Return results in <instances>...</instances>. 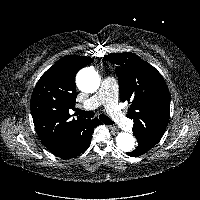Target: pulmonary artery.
Instances as JSON below:
<instances>
[{
	"label": "pulmonary artery",
	"mask_w": 200,
	"mask_h": 200,
	"mask_svg": "<svg viewBox=\"0 0 200 200\" xmlns=\"http://www.w3.org/2000/svg\"><path fill=\"white\" fill-rule=\"evenodd\" d=\"M118 83L115 78L106 77L102 80L99 91L85 103L86 108H97L104 105L107 113L121 127L126 128L131 121L118 110Z\"/></svg>",
	"instance_id": "e3ab8cb5"
}]
</instances>
